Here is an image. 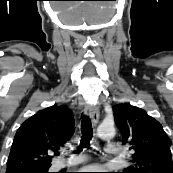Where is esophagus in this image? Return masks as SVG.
Listing matches in <instances>:
<instances>
[{
	"label": "esophagus",
	"instance_id": "esophagus-1",
	"mask_svg": "<svg viewBox=\"0 0 173 173\" xmlns=\"http://www.w3.org/2000/svg\"><path fill=\"white\" fill-rule=\"evenodd\" d=\"M85 115L89 116L94 124H97L99 121V108L96 105L88 104L84 108Z\"/></svg>",
	"mask_w": 173,
	"mask_h": 173
}]
</instances>
